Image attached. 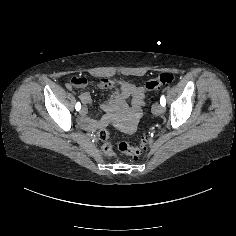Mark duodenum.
<instances>
[{"instance_id":"duodenum-1","label":"duodenum","mask_w":236,"mask_h":236,"mask_svg":"<svg viewBox=\"0 0 236 236\" xmlns=\"http://www.w3.org/2000/svg\"><path fill=\"white\" fill-rule=\"evenodd\" d=\"M108 85H112L109 83ZM121 86V92H116L114 99L110 100L106 105V109L109 112H112L113 110L121 107L126 106L125 98H127L129 95L134 93V89L131 85L126 84V83H120ZM138 100H134V107L138 109ZM110 121V117H107L103 122L101 123H96L90 119L85 118L83 120V125L86 129H94L97 128L101 125H104L105 123Z\"/></svg>"}]
</instances>
